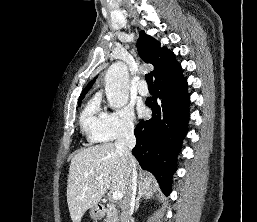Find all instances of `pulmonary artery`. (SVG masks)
I'll return each instance as SVG.
<instances>
[{
    "mask_svg": "<svg viewBox=\"0 0 257 222\" xmlns=\"http://www.w3.org/2000/svg\"><path fill=\"white\" fill-rule=\"evenodd\" d=\"M137 91L139 94L145 96L148 94V87L145 81H140L137 84Z\"/></svg>",
    "mask_w": 257,
    "mask_h": 222,
    "instance_id": "1",
    "label": "pulmonary artery"
}]
</instances>
